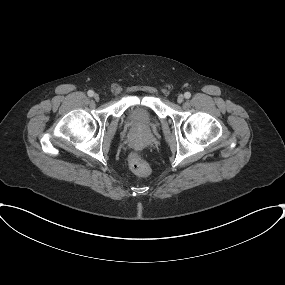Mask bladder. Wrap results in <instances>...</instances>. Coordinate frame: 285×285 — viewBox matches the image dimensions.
<instances>
[{"mask_svg": "<svg viewBox=\"0 0 285 285\" xmlns=\"http://www.w3.org/2000/svg\"><path fill=\"white\" fill-rule=\"evenodd\" d=\"M130 120L133 126L142 129L148 128L152 122L151 117L140 110L134 111L130 116Z\"/></svg>", "mask_w": 285, "mask_h": 285, "instance_id": "1", "label": "bladder"}]
</instances>
